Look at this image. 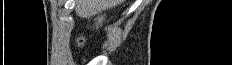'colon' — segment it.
<instances>
[{
    "label": "colon",
    "mask_w": 232,
    "mask_h": 65,
    "mask_svg": "<svg viewBox=\"0 0 232 65\" xmlns=\"http://www.w3.org/2000/svg\"><path fill=\"white\" fill-rule=\"evenodd\" d=\"M83 44V40L82 39H78V45H82Z\"/></svg>",
    "instance_id": "obj_1"
}]
</instances>
